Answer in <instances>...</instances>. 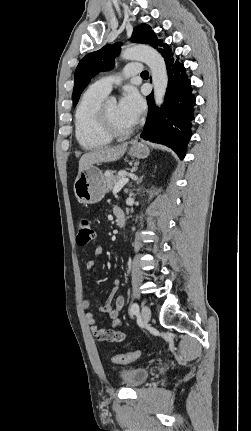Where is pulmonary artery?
Instances as JSON below:
<instances>
[{"instance_id":"pulmonary-artery-1","label":"pulmonary artery","mask_w":251,"mask_h":431,"mask_svg":"<svg viewBox=\"0 0 251 431\" xmlns=\"http://www.w3.org/2000/svg\"><path fill=\"white\" fill-rule=\"evenodd\" d=\"M143 71V66L139 62H132L127 64L121 75L119 76H106L103 78H100L95 83L92 84L93 87L96 89L108 94L113 85L117 82H119L122 78H127L130 76H134L137 74H140Z\"/></svg>"}]
</instances>
